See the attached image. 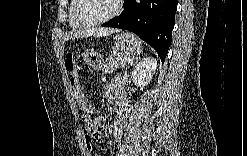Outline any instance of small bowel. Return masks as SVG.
<instances>
[{
	"mask_svg": "<svg viewBox=\"0 0 247 156\" xmlns=\"http://www.w3.org/2000/svg\"><path fill=\"white\" fill-rule=\"evenodd\" d=\"M68 70L71 74L70 83L71 86L74 88L75 96L78 100L80 107L85 112V115L82 118V121H85L84 117L87 116V113H89V107H92V105L86 100L80 89L79 80H78L79 66L78 64L71 62L68 65ZM102 93L104 98L114 97V100L117 105L118 111L113 124L112 134L116 143L118 144L123 135V124L128 116L127 96L121 80L119 78L113 79L111 82H109L103 87ZM104 122H105V118L103 116H99L97 127L100 129V127L103 125ZM83 132H84V126H83ZM101 139H102V134L100 129V135L99 137L96 138V140H101ZM93 140L94 139L87 137L84 133L85 151L87 153H90L92 151ZM118 153L119 150L117 146L113 155H118Z\"/></svg>",
	"mask_w": 247,
	"mask_h": 156,
	"instance_id": "c3829d8e",
	"label": "small bowel"
}]
</instances>
